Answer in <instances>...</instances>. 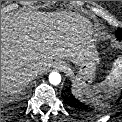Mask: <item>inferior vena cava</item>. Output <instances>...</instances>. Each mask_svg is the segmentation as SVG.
<instances>
[{"label":"inferior vena cava","instance_id":"inferior-vena-cava-1","mask_svg":"<svg viewBox=\"0 0 122 122\" xmlns=\"http://www.w3.org/2000/svg\"><path fill=\"white\" fill-rule=\"evenodd\" d=\"M42 68H43L42 64H37V71H36L37 75L41 74Z\"/></svg>","mask_w":122,"mask_h":122}]
</instances>
